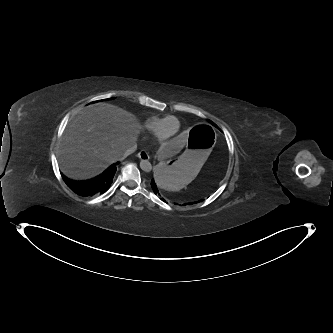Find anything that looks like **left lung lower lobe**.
<instances>
[{"mask_svg":"<svg viewBox=\"0 0 333 333\" xmlns=\"http://www.w3.org/2000/svg\"><path fill=\"white\" fill-rule=\"evenodd\" d=\"M151 187L155 194L161 193V189H160L161 187L154 182V179L151 180Z\"/></svg>","mask_w":333,"mask_h":333,"instance_id":"obj_1","label":"left lung lower lobe"}]
</instances>
